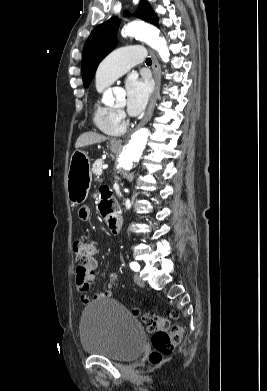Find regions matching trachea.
<instances>
[{"mask_svg": "<svg viewBox=\"0 0 267 391\" xmlns=\"http://www.w3.org/2000/svg\"><path fill=\"white\" fill-rule=\"evenodd\" d=\"M151 63H152L151 58H147V59H146V64H147V65H151Z\"/></svg>", "mask_w": 267, "mask_h": 391, "instance_id": "trachea-1", "label": "trachea"}]
</instances>
